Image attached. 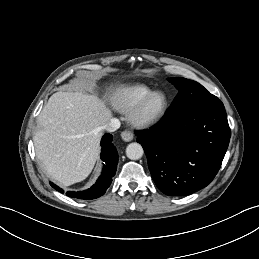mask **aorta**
<instances>
[{"label": "aorta", "mask_w": 259, "mask_h": 259, "mask_svg": "<svg viewBox=\"0 0 259 259\" xmlns=\"http://www.w3.org/2000/svg\"><path fill=\"white\" fill-rule=\"evenodd\" d=\"M144 150L139 143H130L126 147V156L131 160H138L143 156Z\"/></svg>", "instance_id": "aorta-1"}]
</instances>
